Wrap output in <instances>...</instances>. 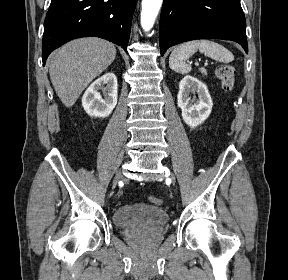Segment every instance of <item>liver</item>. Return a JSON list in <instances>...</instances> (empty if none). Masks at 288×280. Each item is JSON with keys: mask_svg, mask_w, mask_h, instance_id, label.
Here are the masks:
<instances>
[{"mask_svg": "<svg viewBox=\"0 0 288 280\" xmlns=\"http://www.w3.org/2000/svg\"><path fill=\"white\" fill-rule=\"evenodd\" d=\"M116 48L106 40L75 39L56 52L49 66L56 94L72 107L83 90L114 61Z\"/></svg>", "mask_w": 288, "mask_h": 280, "instance_id": "liver-1", "label": "liver"}]
</instances>
